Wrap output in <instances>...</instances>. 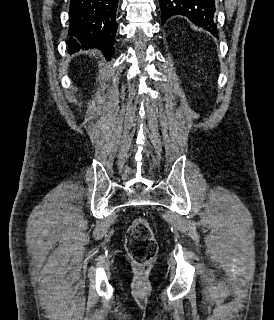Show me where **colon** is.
<instances>
[{
  "label": "colon",
  "mask_w": 274,
  "mask_h": 320,
  "mask_svg": "<svg viewBox=\"0 0 274 320\" xmlns=\"http://www.w3.org/2000/svg\"><path fill=\"white\" fill-rule=\"evenodd\" d=\"M126 251L139 267L147 268L157 253V241L152 226L143 219L131 222L126 237Z\"/></svg>",
  "instance_id": "colon-1"
}]
</instances>
